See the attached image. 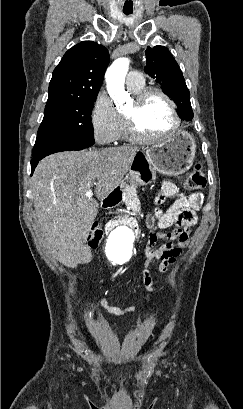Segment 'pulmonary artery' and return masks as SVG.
Segmentation results:
<instances>
[{"label":"pulmonary artery","mask_w":243,"mask_h":409,"mask_svg":"<svg viewBox=\"0 0 243 409\" xmlns=\"http://www.w3.org/2000/svg\"><path fill=\"white\" fill-rule=\"evenodd\" d=\"M126 84L128 87L137 88L144 85V78L138 71H131L126 77Z\"/></svg>","instance_id":"obj_1"}]
</instances>
